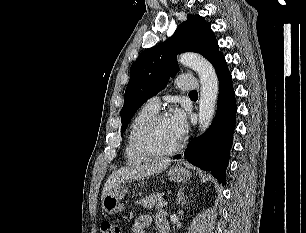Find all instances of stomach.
I'll return each instance as SVG.
<instances>
[{"instance_id": "obj_1", "label": "stomach", "mask_w": 306, "mask_h": 233, "mask_svg": "<svg viewBox=\"0 0 306 233\" xmlns=\"http://www.w3.org/2000/svg\"><path fill=\"white\" fill-rule=\"evenodd\" d=\"M191 175L192 173L181 165H176L168 171L169 179L175 182H186L190 179ZM126 193L127 187L121 184L112 188L102 200L103 210L108 214L121 212L125 208L122 200Z\"/></svg>"}]
</instances>
